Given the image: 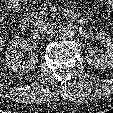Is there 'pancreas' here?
I'll use <instances>...</instances> for the list:
<instances>
[{"label": "pancreas", "instance_id": "cf45deb5", "mask_svg": "<svg viewBox=\"0 0 113 113\" xmlns=\"http://www.w3.org/2000/svg\"><path fill=\"white\" fill-rule=\"evenodd\" d=\"M48 18L46 15L38 14L37 11H33L32 13V20L34 24L42 23L43 21H46Z\"/></svg>", "mask_w": 113, "mask_h": 113}]
</instances>
